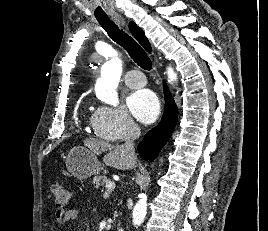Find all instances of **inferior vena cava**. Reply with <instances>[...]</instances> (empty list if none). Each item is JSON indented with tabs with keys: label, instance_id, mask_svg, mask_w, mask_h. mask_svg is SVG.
I'll return each instance as SVG.
<instances>
[{
	"label": "inferior vena cava",
	"instance_id": "602c4592",
	"mask_svg": "<svg viewBox=\"0 0 268 231\" xmlns=\"http://www.w3.org/2000/svg\"><path fill=\"white\" fill-rule=\"evenodd\" d=\"M140 135V128L133 124L129 131V137L124 144L125 151L128 153L129 157L135 160V148H134V139Z\"/></svg>",
	"mask_w": 268,
	"mask_h": 231
}]
</instances>
